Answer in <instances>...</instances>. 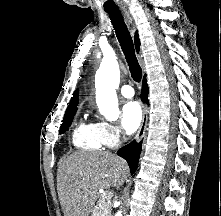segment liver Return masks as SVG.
I'll return each instance as SVG.
<instances>
[{
  "label": "liver",
  "instance_id": "6515ba94",
  "mask_svg": "<svg viewBox=\"0 0 221 216\" xmlns=\"http://www.w3.org/2000/svg\"><path fill=\"white\" fill-rule=\"evenodd\" d=\"M127 162L108 152H76L59 165L57 190L64 216H89L99 189L119 187Z\"/></svg>",
  "mask_w": 221,
  "mask_h": 216
}]
</instances>
